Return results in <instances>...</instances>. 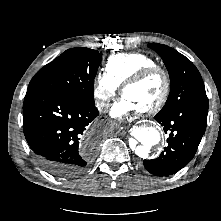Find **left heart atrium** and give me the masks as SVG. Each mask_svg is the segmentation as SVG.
I'll list each match as a JSON object with an SVG mask.
<instances>
[{
  "mask_svg": "<svg viewBox=\"0 0 221 221\" xmlns=\"http://www.w3.org/2000/svg\"><path fill=\"white\" fill-rule=\"evenodd\" d=\"M136 111H138L136 105L129 98L123 96L119 101L113 104L111 115L116 118H121Z\"/></svg>",
  "mask_w": 221,
  "mask_h": 221,
  "instance_id": "obj_1",
  "label": "left heart atrium"
}]
</instances>
